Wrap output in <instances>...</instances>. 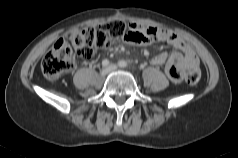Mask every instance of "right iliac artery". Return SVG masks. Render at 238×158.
Masks as SVG:
<instances>
[{
  "label": "right iliac artery",
  "mask_w": 238,
  "mask_h": 158,
  "mask_svg": "<svg viewBox=\"0 0 238 158\" xmlns=\"http://www.w3.org/2000/svg\"><path fill=\"white\" fill-rule=\"evenodd\" d=\"M103 67H107L109 65V61L107 59L102 61Z\"/></svg>",
  "instance_id": "obj_1"
}]
</instances>
